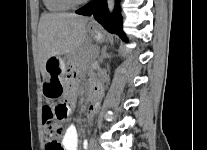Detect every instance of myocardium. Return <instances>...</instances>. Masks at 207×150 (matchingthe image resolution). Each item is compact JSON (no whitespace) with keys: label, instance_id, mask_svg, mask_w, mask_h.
Returning <instances> with one entry per match:
<instances>
[{"label":"myocardium","instance_id":"myocardium-1","mask_svg":"<svg viewBox=\"0 0 207 150\" xmlns=\"http://www.w3.org/2000/svg\"><path fill=\"white\" fill-rule=\"evenodd\" d=\"M88 0H66L71 6H79L85 4Z\"/></svg>","mask_w":207,"mask_h":150}]
</instances>
